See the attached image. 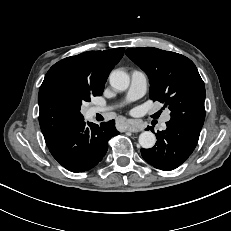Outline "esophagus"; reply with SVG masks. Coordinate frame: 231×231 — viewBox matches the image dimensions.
Returning a JSON list of instances; mask_svg holds the SVG:
<instances>
[{
  "instance_id": "1",
  "label": "esophagus",
  "mask_w": 231,
  "mask_h": 231,
  "mask_svg": "<svg viewBox=\"0 0 231 231\" xmlns=\"http://www.w3.org/2000/svg\"><path fill=\"white\" fill-rule=\"evenodd\" d=\"M126 131L128 132H140L141 129L137 126H134V125H129L127 128H126Z\"/></svg>"
}]
</instances>
